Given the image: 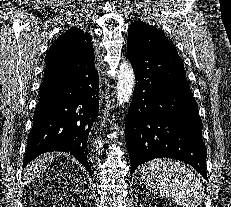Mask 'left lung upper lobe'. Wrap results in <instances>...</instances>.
Segmentation results:
<instances>
[{"label":"left lung upper lobe","mask_w":231,"mask_h":207,"mask_svg":"<svg viewBox=\"0 0 231 207\" xmlns=\"http://www.w3.org/2000/svg\"><path fill=\"white\" fill-rule=\"evenodd\" d=\"M128 33V48L148 49L160 52L176 51L175 45L166 38L163 31L145 22H134L129 27Z\"/></svg>","instance_id":"1"}]
</instances>
